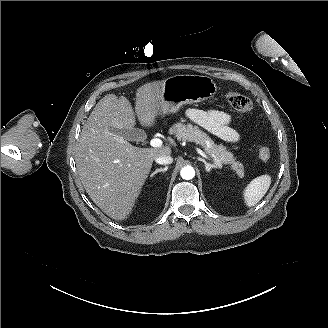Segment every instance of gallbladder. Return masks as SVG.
Masks as SVG:
<instances>
[{"mask_svg": "<svg viewBox=\"0 0 328 328\" xmlns=\"http://www.w3.org/2000/svg\"><path fill=\"white\" fill-rule=\"evenodd\" d=\"M111 134L123 137L128 141H144L147 138L146 132L139 128L118 129L108 127Z\"/></svg>", "mask_w": 328, "mask_h": 328, "instance_id": "1", "label": "gallbladder"}]
</instances>
